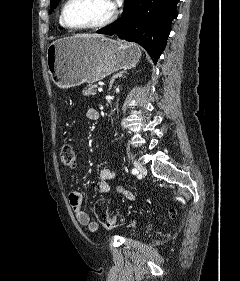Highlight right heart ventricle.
Returning <instances> with one entry per match:
<instances>
[{
  "instance_id": "e07e8e85",
  "label": "right heart ventricle",
  "mask_w": 240,
  "mask_h": 281,
  "mask_svg": "<svg viewBox=\"0 0 240 281\" xmlns=\"http://www.w3.org/2000/svg\"><path fill=\"white\" fill-rule=\"evenodd\" d=\"M59 22H60V25H61V26L65 27V26L63 25L62 21H61V18L59 19Z\"/></svg>"
}]
</instances>
